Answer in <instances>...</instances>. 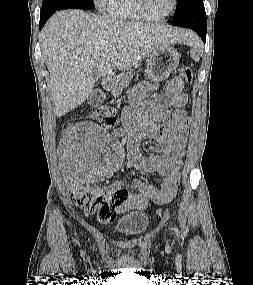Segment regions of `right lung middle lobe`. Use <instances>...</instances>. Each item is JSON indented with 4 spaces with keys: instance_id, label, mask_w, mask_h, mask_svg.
I'll return each instance as SVG.
<instances>
[{
    "instance_id": "1",
    "label": "right lung middle lobe",
    "mask_w": 253,
    "mask_h": 285,
    "mask_svg": "<svg viewBox=\"0 0 253 285\" xmlns=\"http://www.w3.org/2000/svg\"><path fill=\"white\" fill-rule=\"evenodd\" d=\"M94 7L92 0H43L42 10H61V9H91Z\"/></svg>"
}]
</instances>
